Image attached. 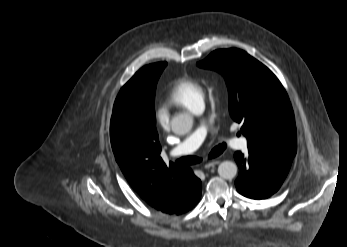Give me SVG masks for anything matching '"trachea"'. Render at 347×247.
I'll return each instance as SVG.
<instances>
[{"label": "trachea", "mask_w": 347, "mask_h": 247, "mask_svg": "<svg viewBox=\"0 0 347 247\" xmlns=\"http://www.w3.org/2000/svg\"><path fill=\"white\" fill-rule=\"evenodd\" d=\"M225 148V144H219L211 150L208 157L215 158L219 156L225 150ZM199 162H201V158L195 156L182 157L176 161V163L180 165H192L197 164Z\"/></svg>", "instance_id": "1"}]
</instances>
